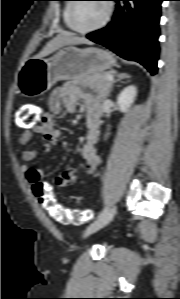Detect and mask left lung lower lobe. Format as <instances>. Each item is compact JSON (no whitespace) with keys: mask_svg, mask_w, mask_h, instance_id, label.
Instances as JSON below:
<instances>
[{"mask_svg":"<svg viewBox=\"0 0 180 299\" xmlns=\"http://www.w3.org/2000/svg\"><path fill=\"white\" fill-rule=\"evenodd\" d=\"M119 3L107 27L87 38L106 46L124 59L142 64L152 75L157 72L159 19L164 0H112Z\"/></svg>","mask_w":180,"mask_h":299,"instance_id":"obj_1","label":"left lung lower lobe"}]
</instances>
